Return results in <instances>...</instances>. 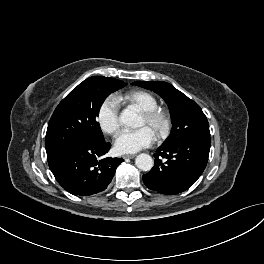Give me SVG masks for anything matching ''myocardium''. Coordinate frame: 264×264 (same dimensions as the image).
I'll return each mask as SVG.
<instances>
[{"instance_id":"myocardium-1","label":"myocardium","mask_w":264,"mask_h":264,"mask_svg":"<svg viewBox=\"0 0 264 264\" xmlns=\"http://www.w3.org/2000/svg\"><path fill=\"white\" fill-rule=\"evenodd\" d=\"M142 116L150 125L154 127L157 137L164 138L169 134L171 119L165 110L156 107L143 111Z\"/></svg>"}]
</instances>
